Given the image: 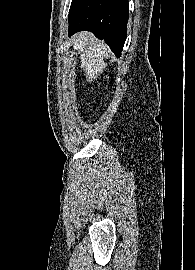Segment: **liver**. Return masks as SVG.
I'll return each mask as SVG.
<instances>
[{"mask_svg":"<svg viewBox=\"0 0 195 270\" xmlns=\"http://www.w3.org/2000/svg\"><path fill=\"white\" fill-rule=\"evenodd\" d=\"M73 48L78 51L81 60V69L89 77L88 82L97 80L107 64L104 58L108 56L109 49L105 43L96 39L87 32H80L73 37Z\"/></svg>","mask_w":195,"mask_h":270,"instance_id":"obj_1","label":"liver"}]
</instances>
